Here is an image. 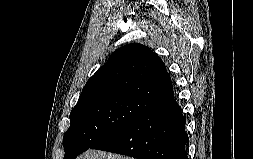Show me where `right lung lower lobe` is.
Wrapping results in <instances>:
<instances>
[{"mask_svg":"<svg viewBox=\"0 0 253 159\" xmlns=\"http://www.w3.org/2000/svg\"><path fill=\"white\" fill-rule=\"evenodd\" d=\"M185 117L174 96L144 112L132 123L92 149L137 159H188Z\"/></svg>","mask_w":253,"mask_h":159,"instance_id":"1","label":"right lung lower lobe"}]
</instances>
